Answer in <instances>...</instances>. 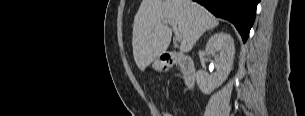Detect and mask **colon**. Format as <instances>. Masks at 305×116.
Masks as SVG:
<instances>
[{
	"label": "colon",
	"instance_id": "colon-1",
	"mask_svg": "<svg viewBox=\"0 0 305 116\" xmlns=\"http://www.w3.org/2000/svg\"><path fill=\"white\" fill-rule=\"evenodd\" d=\"M159 116H173V114L168 111H161Z\"/></svg>",
	"mask_w": 305,
	"mask_h": 116
}]
</instances>
